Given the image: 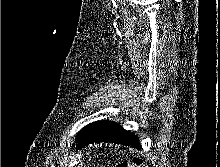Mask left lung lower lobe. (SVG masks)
<instances>
[{
	"mask_svg": "<svg viewBox=\"0 0 220 167\" xmlns=\"http://www.w3.org/2000/svg\"><path fill=\"white\" fill-rule=\"evenodd\" d=\"M77 142L78 149H81L88 144L100 142H112L141 149L137 136L129 133L117 123L111 121L94 122L84 133V135L77 140Z\"/></svg>",
	"mask_w": 220,
	"mask_h": 167,
	"instance_id": "1",
	"label": "left lung lower lobe"
}]
</instances>
